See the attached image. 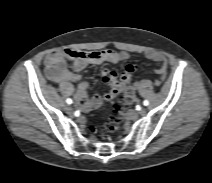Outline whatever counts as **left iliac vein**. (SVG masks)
Listing matches in <instances>:
<instances>
[{"instance_id": "4c4485c4", "label": "left iliac vein", "mask_w": 212, "mask_h": 183, "mask_svg": "<svg viewBox=\"0 0 212 183\" xmlns=\"http://www.w3.org/2000/svg\"><path fill=\"white\" fill-rule=\"evenodd\" d=\"M145 112V109H141L140 111H139V114H143Z\"/></svg>"}]
</instances>
